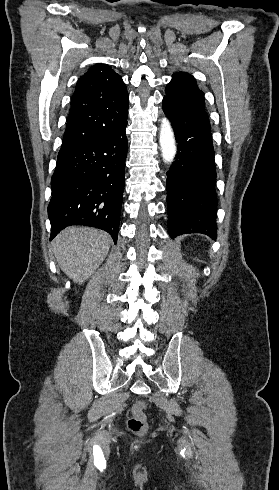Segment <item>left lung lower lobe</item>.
Wrapping results in <instances>:
<instances>
[{
  "instance_id": "1",
  "label": "left lung lower lobe",
  "mask_w": 279,
  "mask_h": 490,
  "mask_svg": "<svg viewBox=\"0 0 279 490\" xmlns=\"http://www.w3.org/2000/svg\"><path fill=\"white\" fill-rule=\"evenodd\" d=\"M163 110L178 143L176 159L167 172L168 232L217 237L216 169L208 115L165 96Z\"/></svg>"
}]
</instances>
